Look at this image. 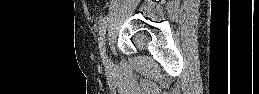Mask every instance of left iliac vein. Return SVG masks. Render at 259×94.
Instances as JSON below:
<instances>
[{
  "instance_id": "obj_1",
  "label": "left iliac vein",
  "mask_w": 259,
  "mask_h": 94,
  "mask_svg": "<svg viewBox=\"0 0 259 94\" xmlns=\"http://www.w3.org/2000/svg\"><path fill=\"white\" fill-rule=\"evenodd\" d=\"M109 61H110V59H109V57H108V55H107V53H106V48H104V62H105L106 64H108Z\"/></svg>"
}]
</instances>
